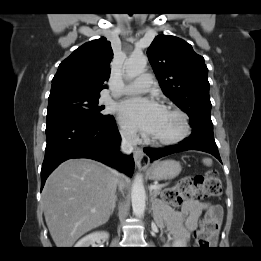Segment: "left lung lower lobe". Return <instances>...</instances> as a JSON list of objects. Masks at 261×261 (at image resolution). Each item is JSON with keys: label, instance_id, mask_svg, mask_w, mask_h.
<instances>
[{"label": "left lung lower lobe", "instance_id": "0a47b994", "mask_svg": "<svg viewBox=\"0 0 261 261\" xmlns=\"http://www.w3.org/2000/svg\"><path fill=\"white\" fill-rule=\"evenodd\" d=\"M187 150H200L210 153L221 162L218 148L214 140L212 127L193 128L192 134L188 138L181 141L179 144L170 146L168 148H144V152L149 156L151 161L157 160L169 154Z\"/></svg>", "mask_w": 261, "mask_h": 261}]
</instances>
